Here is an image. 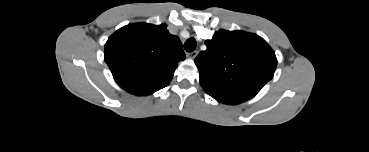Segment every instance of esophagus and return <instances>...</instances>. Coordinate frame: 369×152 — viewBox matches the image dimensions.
<instances>
[{"label": "esophagus", "mask_w": 369, "mask_h": 152, "mask_svg": "<svg viewBox=\"0 0 369 152\" xmlns=\"http://www.w3.org/2000/svg\"><path fill=\"white\" fill-rule=\"evenodd\" d=\"M197 55H198V51H193L187 54V56L191 59H195Z\"/></svg>", "instance_id": "34e87169"}]
</instances>
